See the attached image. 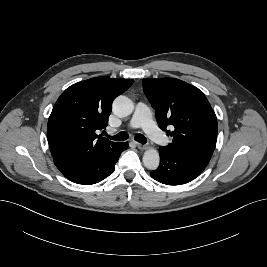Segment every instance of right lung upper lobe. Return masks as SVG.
<instances>
[{
  "instance_id": "1",
  "label": "right lung upper lobe",
  "mask_w": 267,
  "mask_h": 267,
  "mask_svg": "<svg viewBox=\"0 0 267 267\" xmlns=\"http://www.w3.org/2000/svg\"><path fill=\"white\" fill-rule=\"evenodd\" d=\"M133 82L95 77L68 87L48 120L47 137L53 158L89 157L119 145L96 132L107 126L114 98Z\"/></svg>"
}]
</instances>
